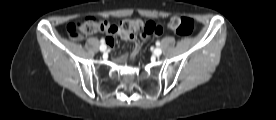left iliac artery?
Masks as SVG:
<instances>
[{
    "instance_id": "1",
    "label": "left iliac artery",
    "mask_w": 276,
    "mask_h": 120,
    "mask_svg": "<svg viewBox=\"0 0 276 120\" xmlns=\"http://www.w3.org/2000/svg\"><path fill=\"white\" fill-rule=\"evenodd\" d=\"M156 46H160V42L159 41L156 42Z\"/></svg>"
}]
</instances>
